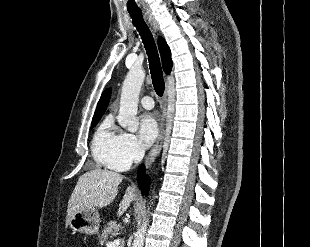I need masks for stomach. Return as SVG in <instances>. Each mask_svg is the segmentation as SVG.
I'll return each instance as SVG.
<instances>
[{"label": "stomach", "mask_w": 310, "mask_h": 247, "mask_svg": "<svg viewBox=\"0 0 310 247\" xmlns=\"http://www.w3.org/2000/svg\"><path fill=\"white\" fill-rule=\"evenodd\" d=\"M100 216L95 208L78 211L70 219L69 226L74 232L93 235L99 231Z\"/></svg>", "instance_id": "0dacf381"}]
</instances>
